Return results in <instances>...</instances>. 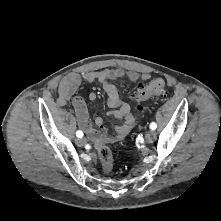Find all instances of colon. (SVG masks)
<instances>
[{
  "mask_svg": "<svg viewBox=\"0 0 221 221\" xmlns=\"http://www.w3.org/2000/svg\"><path fill=\"white\" fill-rule=\"evenodd\" d=\"M165 82L161 78L154 79L147 86H141L138 88L133 96L135 102L147 100L154 96L160 95L164 92ZM98 156L102 163L103 170L110 172L113 167V153L107 146H101L98 150Z\"/></svg>",
  "mask_w": 221,
  "mask_h": 221,
  "instance_id": "colon-1",
  "label": "colon"
}]
</instances>
